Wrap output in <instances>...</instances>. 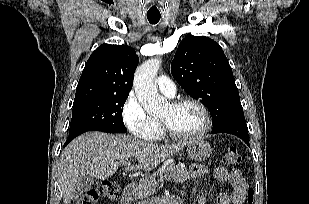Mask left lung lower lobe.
<instances>
[{"label": "left lung lower lobe", "instance_id": "0a47b994", "mask_svg": "<svg viewBox=\"0 0 309 204\" xmlns=\"http://www.w3.org/2000/svg\"><path fill=\"white\" fill-rule=\"evenodd\" d=\"M212 133H230L241 138L248 146V131L244 115L235 116L226 119L216 127H213Z\"/></svg>", "mask_w": 309, "mask_h": 204}]
</instances>
